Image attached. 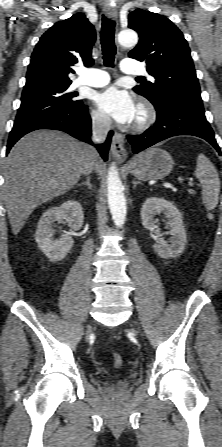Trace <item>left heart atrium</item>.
<instances>
[{
    "label": "left heart atrium",
    "mask_w": 222,
    "mask_h": 447,
    "mask_svg": "<svg viewBox=\"0 0 222 447\" xmlns=\"http://www.w3.org/2000/svg\"><path fill=\"white\" fill-rule=\"evenodd\" d=\"M98 108L120 124L131 123L137 115L132 97L126 91L110 87L96 96Z\"/></svg>",
    "instance_id": "obj_1"
}]
</instances>
